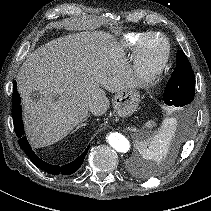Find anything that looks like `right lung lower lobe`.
<instances>
[{"mask_svg":"<svg viewBox=\"0 0 211 211\" xmlns=\"http://www.w3.org/2000/svg\"><path fill=\"white\" fill-rule=\"evenodd\" d=\"M14 90H13V99H12V115H13V123L15 126L16 134L20 138L19 139V145L20 147L25 151L26 155L30 157L31 161L42 170L53 174H62V175H69L74 172H76L80 166L82 165L85 156L89 150V146L86 148V150L74 161H72L69 164H66L64 166H56L51 165L43 160H41L39 157L36 156V154L31 150L30 145L27 142L26 137H24V128H23V122H22V116H21V105H20V96L17 92V86L16 82H14Z\"/></svg>","mask_w":211,"mask_h":211,"instance_id":"1","label":"right lung lower lobe"}]
</instances>
